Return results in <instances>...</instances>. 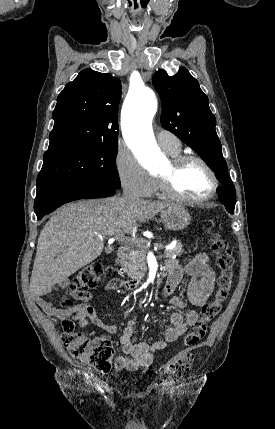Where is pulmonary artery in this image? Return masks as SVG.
Returning <instances> with one entry per match:
<instances>
[{"mask_svg":"<svg viewBox=\"0 0 275 429\" xmlns=\"http://www.w3.org/2000/svg\"><path fill=\"white\" fill-rule=\"evenodd\" d=\"M157 140L160 146L166 151H177L180 149L179 139L168 131H159L157 133Z\"/></svg>","mask_w":275,"mask_h":429,"instance_id":"1","label":"pulmonary artery"}]
</instances>
